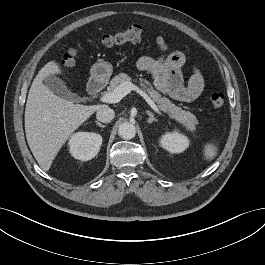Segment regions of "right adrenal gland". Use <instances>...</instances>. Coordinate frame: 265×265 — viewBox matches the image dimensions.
<instances>
[{
	"mask_svg": "<svg viewBox=\"0 0 265 265\" xmlns=\"http://www.w3.org/2000/svg\"><path fill=\"white\" fill-rule=\"evenodd\" d=\"M96 125L101 127V128H105L106 126L101 124L99 121H95Z\"/></svg>",
	"mask_w": 265,
	"mask_h": 265,
	"instance_id": "obj_1",
	"label": "right adrenal gland"
}]
</instances>
